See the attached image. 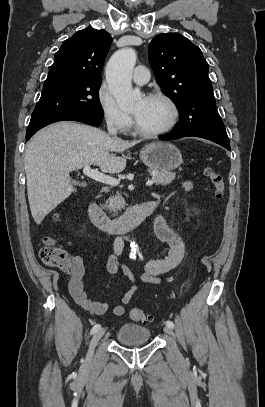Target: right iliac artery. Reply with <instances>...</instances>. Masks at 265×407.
I'll return each instance as SVG.
<instances>
[{
    "instance_id": "right-iliac-artery-1",
    "label": "right iliac artery",
    "mask_w": 265,
    "mask_h": 407,
    "mask_svg": "<svg viewBox=\"0 0 265 407\" xmlns=\"http://www.w3.org/2000/svg\"><path fill=\"white\" fill-rule=\"evenodd\" d=\"M100 328H101V325H100V324L94 325L93 328L91 329V334H94V333L97 332Z\"/></svg>"
}]
</instances>
